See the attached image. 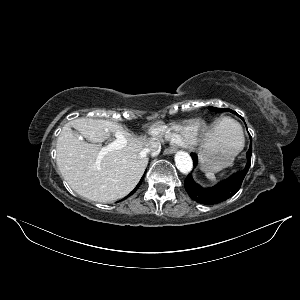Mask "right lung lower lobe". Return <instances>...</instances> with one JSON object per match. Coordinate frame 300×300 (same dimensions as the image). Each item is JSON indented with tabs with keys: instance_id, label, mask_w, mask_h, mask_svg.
Segmentation results:
<instances>
[{
	"instance_id": "98d812e1",
	"label": "right lung lower lobe",
	"mask_w": 300,
	"mask_h": 300,
	"mask_svg": "<svg viewBox=\"0 0 300 300\" xmlns=\"http://www.w3.org/2000/svg\"><path fill=\"white\" fill-rule=\"evenodd\" d=\"M142 179H143V178H142ZM142 179L140 180V182H139V184L136 186V188L130 193V195L133 194V193L135 192V190H137L138 186L141 184Z\"/></svg>"
}]
</instances>
